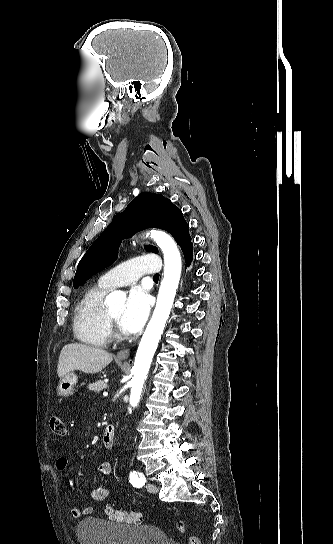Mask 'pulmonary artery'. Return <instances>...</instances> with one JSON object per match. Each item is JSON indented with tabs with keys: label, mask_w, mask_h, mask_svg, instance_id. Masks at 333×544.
Masks as SVG:
<instances>
[{
	"label": "pulmonary artery",
	"mask_w": 333,
	"mask_h": 544,
	"mask_svg": "<svg viewBox=\"0 0 333 544\" xmlns=\"http://www.w3.org/2000/svg\"><path fill=\"white\" fill-rule=\"evenodd\" d=\"M161 262L156 255H143L131 258L103 274L99 283L109 289L129 285L144 274H156Z\"/></svg>",
	"instance_id": "obj_1"
}]
</instances>
